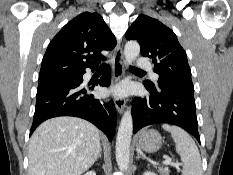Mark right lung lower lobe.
<instances>
[{
	"label": "right lung lower lobe",
	"mask_w": 233,
	"mask_h": 175,
	"mask_svg": "<svg viewBox=\"0 0 233 175\" xmlns=\"http://www.w3.org/2000/svg\"><path fill=\"white\" fill-rule=\"evenodd\" d=\"M97 68V67H96ZM96 68H92L95 70ZM77 79L54 83L37 90V100L30 135L43 121L58 116H74L90 121L101 129L111 141L115 134L117 115L113 101L104 102L95 99L89 90L83 87L82 76ZM111 82L110 67L96 84L109 86ZM93 89V88H90Z\"/></svg>",
	"instance_id": "1"
}]
</instances>
